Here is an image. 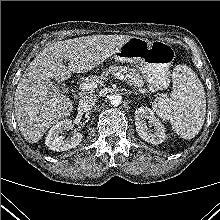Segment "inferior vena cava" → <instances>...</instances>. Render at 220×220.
<instances>
[{"label": "inferior vena cava", "mask_w": 220, "mask_h": 220, "mask_svg": "<svg viewBox=\"0 0 220 220\" xmlns=\"http://www.w3.org/2000/svg\"><path fill=\"white\" fill-rule=\"evenodd\" d=\"M97 102H98L97 95L89 94V95L82 97V99H80L79 108L83 112H88L96 106Z\"/></svg>", "instance_id": "1"}]
</instances>
